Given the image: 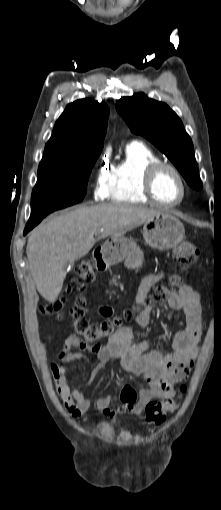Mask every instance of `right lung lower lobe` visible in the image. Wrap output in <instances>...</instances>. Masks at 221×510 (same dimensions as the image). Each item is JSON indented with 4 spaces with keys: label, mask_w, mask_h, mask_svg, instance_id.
<instances>
[{
    "label": "right lung lower lobe",
    "mask_w": 221,
    "mask_h": 510,
    "mask_svg": "<svg viewBox=\"0 0 221 510\" xmlns=\"http://www.w3.org/2000/svg\"><path fill=\"white\" fill-rule=\"evenodd\" d=\"M53 211H39L31 209L30 219L24 229V235L34 228L46 215Z\"/></svg>",
    "instance_id": "98d812e1"
}]
</instances>
